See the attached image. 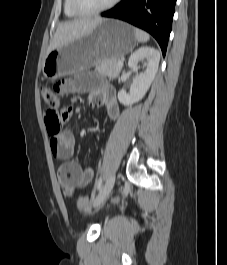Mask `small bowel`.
Segmentation results:
<instances>
[{"mask_svg": "<svg viewBox=\"0 0 227 265\" xmlns=\"http://www.w3.org/2000/svg\"><path fill=\"white\" fill-rule=\"evenodd\" d=\"M55 85L60 86L63 93H86L92 107H104L112 120L119 117L115 90L100 77V72H79L69 80L56 81ZM62 112H70V107H62ZM50 148L55 158L64 161L58 169V178L66 196H73L76 190L91 183L95 174L93 168H83L78 162L70 160L75 148V140L70 132L51 136Z\"/></svg>", "mask_w": 227, "mask_h": 265, "instance_id": "1", "label": "small bowel"}]
</instances>
